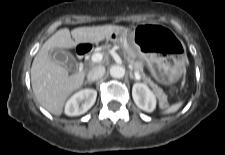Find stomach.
<instances>
[{
    "mask_svg": "<svg viewBox=\"0 0 225 155\" xmlns=\"http://www.w3.org/2000/svg\"><path fill=\"white\" fill-rule=\"evenodd\" d=\"M114 38L131 58L146 61L158 79L174 81L184 72L183 44L163 25L142 23L113 33L107 39Z\"/></svg>",
    "mask_w": 225,
    "mask_h": 155,
    "instance_id": "0dacf381",
    "label": "stomach"
}]
</instances>
